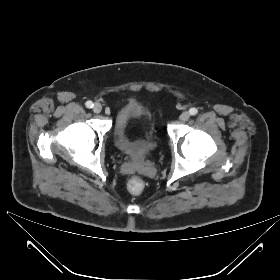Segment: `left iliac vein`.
Segmentation results:
<instances>
[{"label": "left iliac vein", "instance_id": "1", "mask_svg": "<svg viewBox=\"0 0 280 280\" xmlns=\"http://www.w3.org/2000/svg\"><path fill=\"white\" fill-rule=\"evenodd\" d=\"M189 118H190V114L188 111H184L179 117L180 121L182 122L187 121Z\"/></svg>", "mask_w": 280, "mask_h": 280}]
</instances>
